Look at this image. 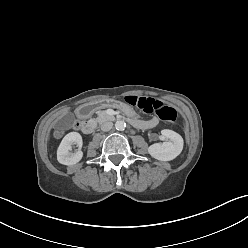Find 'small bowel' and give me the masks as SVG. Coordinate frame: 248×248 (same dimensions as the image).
<instances>
[{
	"label": "small bowel",
	"instance_id": "c3829d8e",
	"mask_svg": "<svg viewBox=\"0 0 248 248\" xmlns=\"http://www.w3.org/2000/svg\"><path fill=\"white\" fill-rule=\"evenodd\" d=\"M157 123H158V120L156 118H152L148 121H143V122L136 121V123H134V124L137 126L150 128V127L156 126Z\"/></svg>",
	"mask_w": 248,
	"mask_h": 248
}]
</instances>
